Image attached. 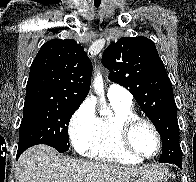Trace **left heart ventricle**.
Returning a JSON list of instances; mask_svg holds the SVG:
<instances>
[{"label": "left heart ventricle", "mask_w": 196, "mask_h": 182, "mask_svg": "<svg viewBox=\"0 0 196 182\" xmlns=\"http://www.w3.org/2000/svg\"><path fill=\"white\" fill-rule=\"evenodd\" d=\"M131 142L134 148L143 155H152L157 149V140L152 129L144 124H138L131 136Z\"/></svg>", "instance_id": "1"}]
</instances>
